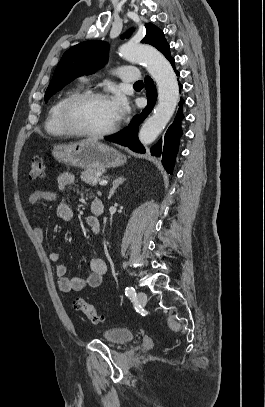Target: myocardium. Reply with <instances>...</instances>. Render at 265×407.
<instances>
[{
  "instance_id": "myocardium-1",
  "label": "myocardium",
  "mask_w": 265,
  "mask_h": 407,
  "mask_svg": "<svg viewBox=\"0 0 265 407\" xmlns=\"http://www.w3.org/2000/svg\"><path fill=\"white\" fill-rule=\"evenodd\" d=\"M99 99H107V96L97 91H84L71 95L61 108L60 121L62 127L70 135L94 139L103 138L115 133L118 129L117 122L106 130L94 132L81 128L76 121L75 111L78 106L82 105L83 103Z\"/></svg>"
}]
</instances>
